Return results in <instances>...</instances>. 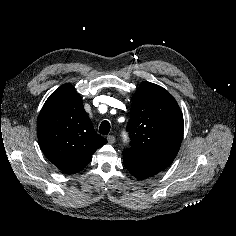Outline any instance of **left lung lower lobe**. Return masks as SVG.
<instances>
[{"label":"left lung lower lobe","instance_id":"obj_1","mask_svg":"<svg viewBox=\"0 0 236 236\" xmlns=\"http://www.w3.org/2000/svg\"><path fill=\"white\" fill-rule=\"evenodd\" d=\"M123 162L128 171L138 179L154 176L167 168L162 164L146 161L123 152Z\"/></svg>","mask_w":236,"mask_h":236}]
</instances>
